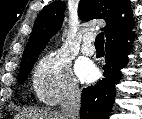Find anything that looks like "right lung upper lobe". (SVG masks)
I'll return each instance as SVG.
<instances>
[{
	"label": "right lung upper lobe",
	"mask_w": 142,
	"mask_h": 119,
	"mask_svg": "<svg viewBox=\"0 0 142 119\" xmlns=\"http://www.w3.org/2000/svg\"><path fill=\"white\" fill-rule=\"evenodd\" d=\"M64 10L65 3L55 1L39 13L25 47L21 66L38 58L48 40L58 32L63 22ZM124 12L127 15L122 17ZM78 13L82 20L106 21V26L102 28L106 42L125 36L134 28L129 0H80Z\"/></svg>",
	"instance_id": "obj_1"
}]
</instances>
